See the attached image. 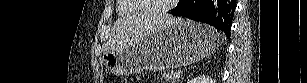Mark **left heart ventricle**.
<instances>
[{
  "instance_id": "left-heart-ventricle-1",
  "label": "left heart ventricle",
  "mask_w": 307,
  "mask_h": 83,
  "mask_svg": "<svg viewBox=\"0 0 307 83\" xmlns=\"http://www.w3.org/2000/svg\"><path fill=\"white\" fill-rule=\"evenodd\" d=\"M170 1L171 0H143L149 10H156L162 6H165Z\"/></svg>"
}]
</instances>
